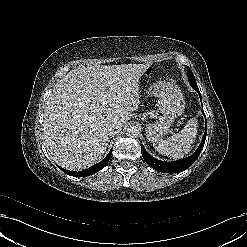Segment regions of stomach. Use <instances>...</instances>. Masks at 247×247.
<instances>
[{"mask_svg": "<svg viewBox=\"0 0 247 247\" xmlns=\"http://www.w3.org/2000/svg\"><path fill=\"white\" fill-rule=\"evenodd\" d=\"M149 94L157 97L158 110L164 117L146 126V137L151 142H159L168 133L173 120L183 113L185 101L178 87L166 81L154 83Z\"/></svg>", "mask_w": 247, "mask_h": 247, "instance_id": "stomach-1", "label": "stomach"}]
</instances>
